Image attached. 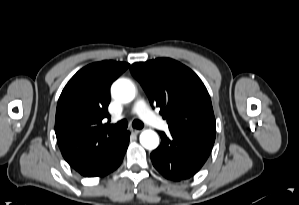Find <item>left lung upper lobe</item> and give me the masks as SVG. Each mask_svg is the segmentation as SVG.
Wrapping results in <instances>:
<instances>
[{
	"label": "left lung upper lobe",
	"mask_w": 299,
	"mask_h": 205,
	"mask_svg": "<svg viewBox=\"0 0 299 205\" xmlns=\"http://www.w3.org/2000/svg\"><path fill=\"white\" fill-rule=\"evenodd\" d=\"M130 70L150 102L160 107L170 131L216 135L210 96L191 69L170 58H158L134 63Z\"/></svg>",
	"instance_id": "5c2ea615"
}]
</instances>
